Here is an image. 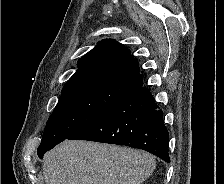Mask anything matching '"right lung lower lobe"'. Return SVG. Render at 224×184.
Returning a JSON list of instances; mask_svg holds the SVG:
<instances>
[{
  "label": "right lung lower lobe",
  "mask_w": 224,
  "mask_h": 184,
  "mask_svg": "<svg viewBox=\"0 0 224 184\" xmlns=\"http://www.w3.org/2000/svg\"><path fill=\"white\" fill-rule=\"evenodd\" d=\"M67 139L125 145L170 162L169 134L163 122V112L150 91L142 85L133 88L99 118ZM48 150L40 153L39 158H43Z\"/></svg>",
  "instance_id": "98d812e1"
}]
</instances>
